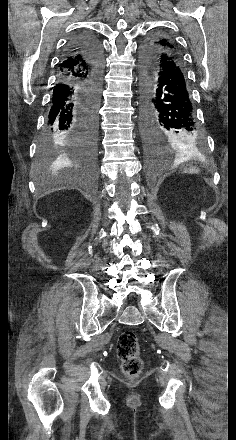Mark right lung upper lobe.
I'll use <instances>...</instances> for the list:
<instances>
[{"label": "right lung upper lobe", "mask_w": 236, "mask_h": 440, "mask_svg": "<svg viewBox=\"0 0 236 440\" xmlns=\"http://www.w3.org/2000/svg\"><path fill=\"white\" fill-rule=\"evenodd\" d=\"M71 58H66L65 63L60 67L59 79L85 80L88 77V68L82 56L77 55Z\"/></svg>", "instance_id": "obj_1"}]
</instances>
